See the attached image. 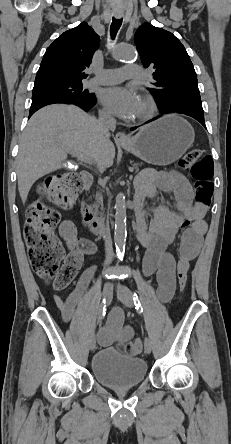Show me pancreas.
Instances as JSON below:
<instances>
[{"mask_svg": "<svg viewBox=\"0 0 231 444\" xmlns=\"http://www.w3.org/2000/svg\"><path fill=\"white\" fill-rule=\"evenodd\" d=\"M141 166H142V163H134V164H133V167H134L136 170H139V168H140ZM97 200H98L99 203L102 202V195H101V193H98V195H97Z\"/></svg>", "mask_w": 231, "mask_h": 444, "instance_id": "pancreas-1", "label": "pancreas"}]
</instances>
